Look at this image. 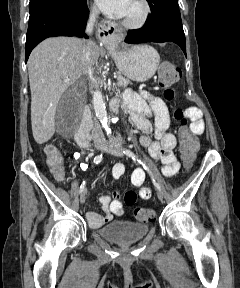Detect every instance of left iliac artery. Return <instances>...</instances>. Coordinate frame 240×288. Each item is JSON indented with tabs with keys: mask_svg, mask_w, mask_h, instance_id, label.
Segmentation results:
<instances>
[{
	"mask_svg": "<svg viewBox=\"0 0 240 288\" xmlns=\"http://www.w3.org/2000/svg\"><path fill=\"white\" fill-rule=\"evenodd\" d=\"M123 153L126 154L127 156L131 157L134 161H137L138 163H140L144 167V169L150 174L155 187L159 190L161 189L159 183L156 182L151 170L148 168V166L141 159L138 158V156H136L131 150H129L127 148L123 149Z\"/></svg>",
	"mask_w": 240,
	"mask_h": 288,
	"instance_id": "1",
	"label": "left iliac artery"
}]
</instances>
